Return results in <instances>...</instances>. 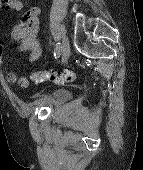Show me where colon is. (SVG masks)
Returning <instances> with one entry per match:
<instances>
[{
  "instance_id": "colon-1",
  "label": "colon",
  "mask_w": 143,
  "mask_h": 170,
  "mask_svg": "<svg viewBox=\"0 0 143 170\" xmlns=\"http://www.w3.org/2000/svg\"><path fill=\"white\" fill-rule=\"evenodd\" d=\"M7 0H0V4L5 3ZM77 78V74L72 70H64L62 72L55 71H37L33 73L32 80L34 83H43L46 81H51L54 83H66L74 81ZM22 87L27 86L26 81L21 82Z\"/></svg>"
}]
</instances>
